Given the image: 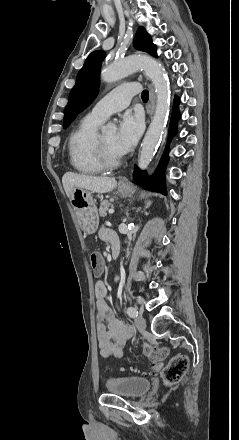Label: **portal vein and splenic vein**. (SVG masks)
Returning a JSON list of instances; mask_svg holds the SVG:
<instances>
[{"instance_id":"1","label":"portal vein and splenic vein","mask_w":239,"mask_h":440,"mask_svg":"<svg viewBox=\"0 0 239 440\" xmlns=\"http://www.w3.org/2000/svg\"><path fill=\"white\" fill-rule=\"evenodd\" d=\"M109 211H110V212H109V213H110V215H113V214H115V213H116V212H115V211H114L113 209H110Z\"/></svg>"}]
</instances>
